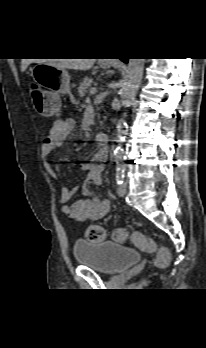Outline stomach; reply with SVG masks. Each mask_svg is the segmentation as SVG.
Returning a JSON list of instances; mask_svg holds the SVG:
<instances>
[{"label": "stomach", "mask_w": 206, "mask_h": 348, "mask_svg": "<svg viewBox=\"0 0 206 348\" xmlns=\"http://www.w3.org/2000/svg\"><path fill=\"white\" fill-rule=\"evenodd\" d=\"M31 73L36 84L43 88L35 97L34 107L41 115L51 116L59 107L58 95L70 92V76L65 69L46 63L37 64Z\"/></svg>", "instance_id": "0dacf381"}]
</instances>
